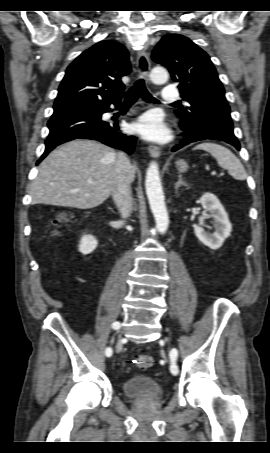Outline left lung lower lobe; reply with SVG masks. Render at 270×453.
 <instances>
[{"instance_id":"0a47b994","label":"left lung lower lobe","mask_w":270,"mask_h":453,"mask_svg":"<svg viewBox=\"0 0 270 453\" xmlns=\"http://www.w3.org/2000/svg\"><path fill=\"white\" fill-rule=\"evenodd\" d=\"M181 129L184 131L182 133L185 136L186 141H183L181 144L175 146L172 151H176L182 148L184 145L188 144L189 142H195L204 139H214L227 142L233 145L236 149L240 150L239 141L235 136L228 135L221 133L219 131H215L209 128L207 125L197 122V123H189L184 124L181 123Z\"/></svg>"}]
</instances>
